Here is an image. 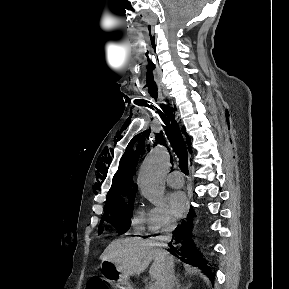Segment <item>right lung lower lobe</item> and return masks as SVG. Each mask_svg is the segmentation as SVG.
I'll list each match as a JSON object with an SVG mask.
<instances>
[{
	"label": "right lung lower lobe",
	"mask_w": 289,
	"mask_h": 289,
	"mask_svg": "<svg viewBox=\"0 0 289 289\" xmlns=\"http://www.w3.org/2000/svg\"><path fill=\"white\" fill-rule=\"evenodd\" d=\"M194 216L195 214L190 210L187 219L176 229L174 240L170 242L168 246L170 247V252L175 256L178 254V258L183 262L205 270L206 274L213 282L214 274H211L209 267L206 265L207 262L199 256L196 247L191 240L193 229L192 218Z\"/></svg>",
	"instance_id": "98d812e1"
}]
</instances>
